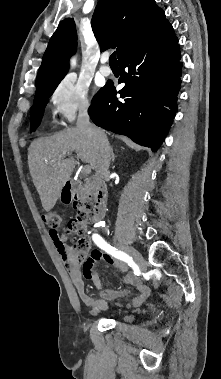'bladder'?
I'll list each match as a JSON object with an SVG mask.
<instances>
[{
    "mask_svg": "<svg viewBox=\"0 0 221 379\" xmlns=\"http://www.w3.org/2000/svg\"><path fill=\"white\" fill-rule=\"evenodd\" d=\"M132 318H133V317H132L131 315H129V314H124V315H121V316H120V319H121L122 321H126V322L131 321Z\"/></svg>",
    "mask_w": 221,
    "mask_h": 379,
    "instance_id": "1",
    "label": "bladder"
}]
</instances>
